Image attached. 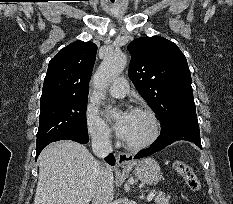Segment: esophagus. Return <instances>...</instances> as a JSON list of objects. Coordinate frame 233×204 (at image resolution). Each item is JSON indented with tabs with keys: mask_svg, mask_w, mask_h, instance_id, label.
<instances>
[{
	"mask_svg": "<svg viewBox=\"0 0 233 204\" xmlns=\"http://www.w3.org/2000/svg\"><path fill=\"white\" fill-rule=\"evenodd\" d=\"M116 162L122 167L129 166L133 163V156L129 153L120 152L117 154Z\"/></svg>",
	"mask_w": 233,
	"mask_h": 204,
	"instance_id": "1",
	"label": "esophagus"
}]
</instances>
